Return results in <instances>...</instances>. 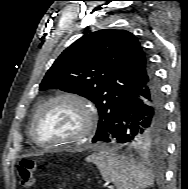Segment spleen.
Masks as SVG:
<instances>
[{"label": "spleen", "mask_w": 188, "mask_h": 189, "mask_svg": "<svg viewBox=\"0 0 188 189\" xmlns=\"http://www.w3.org/2000/svg\"><path fill=\"white\" fill-rule=\"evenodd\" d=\"M86 161L94 163L103 179L117 189H145L153 185L151 173L124 156L103 150L91 154Z\"/></svg>", "instance_id": "obj_1"}]
</instances>
